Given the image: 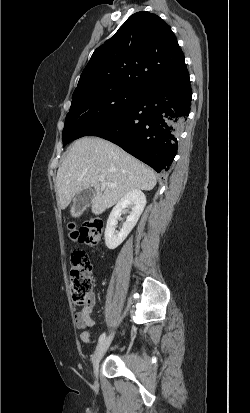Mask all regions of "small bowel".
Here are the masks:
<instances>
[{
	"instance_id": "c3829d8e",
	"label": "small bowel",
	"mask_w": 250,
	"mask_h": 413,
	"mask_svg": "<svg viewBox=\"0 0 250 413\" xmlns=\"http://www.w3.org/2000/svg\"><path fill=\"white\" fill-rule=\"evenodd\" d=\"M97 305L95 298L93 302L88 307H83V309L75 314L76 325L79 329H85L80 334V339L82 342L88 344L91 338V329L95 325V320L91 317V312L93 308Z\"/></svg>"
}]
</instances>
